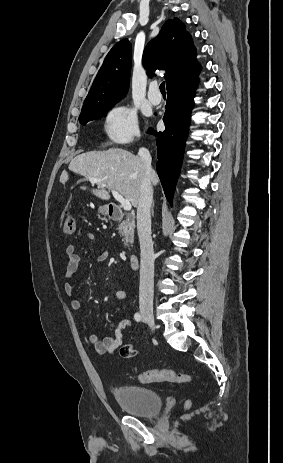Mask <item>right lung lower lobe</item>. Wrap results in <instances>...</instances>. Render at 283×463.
Here are the masks:
<instances>
[{
	"label": "right lung lower lobe",
	"mask_w": 283,
	"mask_h": 463,
	"mask_svg": "<svg viewBox=\"0 0 283 463\" xmlns=\"http://www.w3.org/2000/svg\"><path fill=\"white\" fill-rule=\"evenodd\" d=\"M197 82L195 78L167 88V104L163 117L166 129L164 132L148 130V133L157 137L156 169L165 196L171 205L182 164Z\"/></svg>",
	"instance_id": "right-lung-lower-lobe-1"
}]
</instances>
